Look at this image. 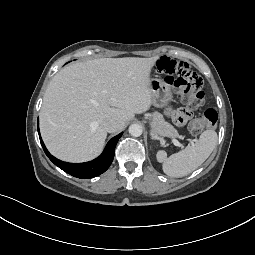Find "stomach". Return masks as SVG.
Masks as SVG:
<instances>
[{"instance_id": "obj_1", "label": "stomach", "mask_w": 255, "mask_h": 255, "mask_svg": "<svg viewBox=\"0 0 255 255\" xmlns=\"http://www.w3.org/2000/svg\"><path fill=\"white\" fill-rule=\"evenodd\" d=\"M150 92L152 104L156 107L167 106L172 101L171 86L161 79L150 81Z\"/></svg>"}]
</instances>
